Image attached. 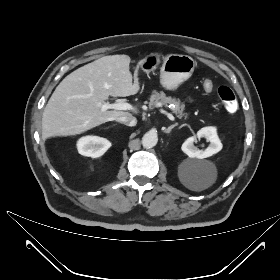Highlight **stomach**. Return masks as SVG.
Masks as SVG:
<instances>
[{
  "mask_svg": "<svg viewBox=\"0 0 280 280\" xmlns=\"http://www.w3.org/2000/svg\"><path fill=\"white\" fill-rule=\"evenodd\" d=\"M160 84L166 90L175 91L194 72L196 62L188 55L170 54L161 60L158 53H151L144 58L142 69L149 73L153 72L159 65Z\"/></svg>",
  "mask_w": 280,
  "mask_h": 280,
  "instance_id": "stomach-1",
  "label": "stomach"
}]
</instances>
